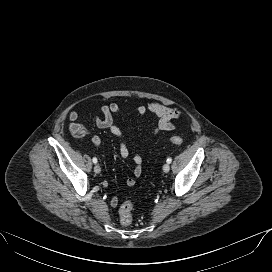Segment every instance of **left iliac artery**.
<instances>
[{
  "label": "left iliac artery",
  "instance_id": "left-iliac-artery-1",
  "mask_svg": "<svg viewBox=\"0 0 272 272\" xmlns=\"http://www.w3.org/2000/svg\"><path fill=\"white\" fill-rule=\"evenodd\" d=\"M171 162H172V158L169 157V158L167 159V163L170 164Z\"/></svg>",
  "mask_w": 272,
  "mask_h": 272
}]
</instances>
